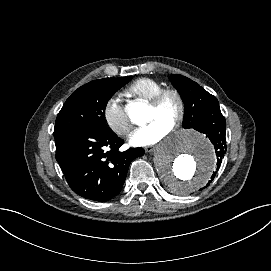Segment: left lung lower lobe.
<instances>
[{
  "instance_id": "obj_1",
  "label": "left lung lower lobe",
  "mask_w": 271,
  "mask_h": 271,
  "mask_svg": "<svg viewBox=\"0 0 271 271\" xmlns=\"http://www.w3.org/2000/svg\"><path fill=\"white\" fill-rule=\"evenodd\" d=\"M195 130L206 134V136L210 139L211 143L214 145L215 148L216 171L213 172L210 181L206 185L207 187L215 178V175L218 169L220 168L222 159L227 150L225 139L226 132L225 118L219 109L215 110L212 114H210L202 122H200L196 126Z\"/></svg>"
}]
</instances>
